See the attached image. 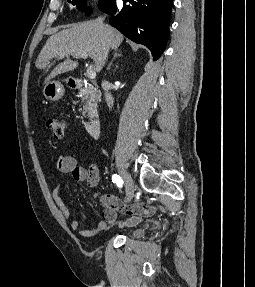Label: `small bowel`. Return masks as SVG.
Masks as SVG:
<instances>
[{
	"mask_svg": "<svg viewBox=\"0 0 255 287\" xmlns=\"http://www.w3.org/2000/svg\"><path fill=\"white\" fill-rule=\"evenodd\" d=\"M57 170L61 174H68L77 182H87L89 187H94L99 181L98 173L95 168L89 170L78 165L76 159L69 155L60 156L57 161ZM53 200L65 219H69L70 228L78 231L83 237H93L104 232L108 225L113 224L117 218L118 211H124L128 218L120 223L121 226L137 225L145 216L154 214L155 207L147 204H134L130 207H125L120 203L118 198L113 195H98L100 204L103 206V219L94 227L89 229H79V221L71 217L70 210L60 197V185L52 192Z\"/></svg>",
	"mask_w": 255,
	"mask_h": 287,
	"instance_id": "c3829d8e",
	"label": "small bowel"
}]
</instances>
